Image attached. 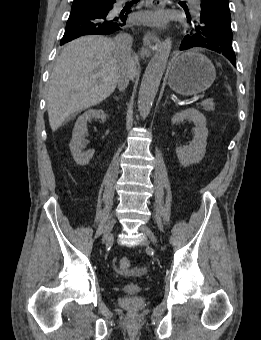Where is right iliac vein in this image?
<instances>
[{
	"instance_id": "obj_1",
	"label": "right iliac vein",
	"mask_w": 261,
	"mask_h": 340,
	"mask_svg": "<svg viewBox=\"0 0 261 340\" xmlns=\"http://www.w3.org/2000/svg\"><path fill=\"white\" fill-rule=\"evenodd\" d=\"M115 223H116V220H115V218L113 217V218H111L109 221H108V223H107V225H106V227H105V230H104V233H103V237H102V243L104 244H110V243H112V241H113V235H112V229H113V227H114V225H115Z\"/></svg>"
}]
</instances>
